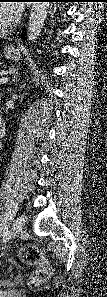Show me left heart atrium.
I'll return each instance as SVG.
<instances>
[{
    "instance_id": "obj_1",
    "label": "left heart atrium",
    "mask_w": 107,
    "mask_h": 297,
    "mask_svg": "<svg viewBox=\"0 0 107 297\" xmlns=\"http://www.w3.org/2000/svg\"><path fill=\"white\" fill-rule=\"evenodd\" d=\"M21 9L19 7H15L13 9V16L16 17L20 13Z\"/></svg>"
}]
</instances>
